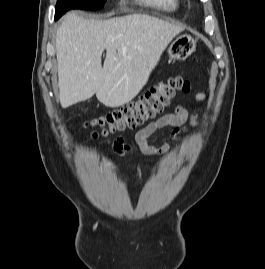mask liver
I'll list each match as a JSON object with an SVG mask.
<instances>
[{
	"label": "liver",
	"instance_id": "obj_1",
	"mask_svg": "<svg viewBox=\"0 0 265 269\" xmlns=\"http://www.w3.org/2000/svg\"><path fill=\"white\" fill-rule=\"evenodd\" d=\"M183 30L147 14L94 20L68 13L56 33L61 106L67 108L94 94L112 108L130 102L147 83L168 44Z\"/></svg>",
	"mask_w": 265,
	"mask_h": 269
}]
</instances>
